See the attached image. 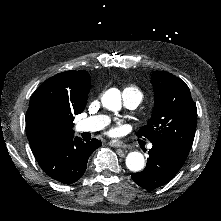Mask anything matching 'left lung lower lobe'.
Instances as JSON below:
<instances>
[{"label":"left lung lower lobe","instance_id":"0a47b994","mask_svg":"<svg viewBox=\"0 0 221 221\" xmlns=\"http://www.w3.org/2000/svg\"><path fill=\"white\" fill-rule=\"evenodd\" d=\"M149 158L145 169L133 173L135 183L146 190H153L168 183L180 170L186 158L178 154L172 147L162 142H151Z\"/></svg>","mask_w":221,"mask_h":221}]
</instances>
